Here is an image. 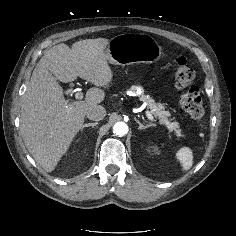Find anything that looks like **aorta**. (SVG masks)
<instances>
[{
  "label": "aorta",
  "instance_id": "762f6f07",
  "mask_svg": "<svg viewBox=\"0 0 236 236\" xmlns=\"http://www.w3.org/2000/svg\"><path fill=\"white\" fill-rule=\"evenodd\" d=\"M113 132L118 136H123L128 132V126L124 122H117L113 127Z\"/></svg>",
  "mask_w": 236,
  "mask_h": 236
}]
</instances>
